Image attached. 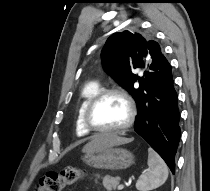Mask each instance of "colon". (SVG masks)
<instances>
[{"label": "colon", "mask_w": 210, "mask_h": 191, "mask_svg": "<svg viewBox=\"0 0 210 191\" xmlns=\"http://www.w3.org/2000/svg\"><path fill=\"white\" fill-rule=\"evenodd\" d=\"M86 172L75 166H69L60 172H48L40 180L35 191H61L65 186L72 185L83 179Z\"/></svg>", "instance_id": "1"}]
</instances>
